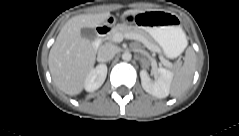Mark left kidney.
Masks as SVG:
<instances>
[{
	"label": "left kidney",
	"mask_w": 239,
	"mask_h": 136,
	"mask_svg": "<svg viewBox=\"0 0 239 136\" xmlns=\"http://www.w3.org/2000/svg\"><path fill=\"white\" fill-rule=\"evenodd\" d=\"M157 72L159 75L158 79L156 81H151L147 71L141 70V85L147 93L157 98H165L170 92L173 73L162 67L158 68Z\"/></svg>",
	"instance_id": "left-kidney-1"
}]
</instances>
